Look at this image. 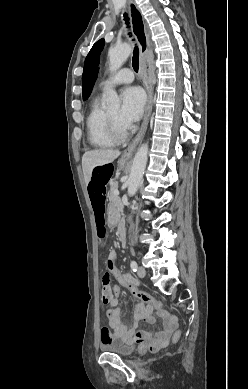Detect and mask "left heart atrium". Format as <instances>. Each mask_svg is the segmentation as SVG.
<instances>
[{
    "instance_id": "left-heart-atrium-1",
    "label": "left heart atrium",
    "mask_w": 248,
    "mask_h": 389,
    "mask_svg": "<svg viewBox=\"0 0 248 389\" xmlns=\"http://www.w3.org/2000/svg\"><path fill=\"white\" fill-rule=\"evenodd\" d=\"M145 95L139 87H127L121 93L119 121L124 129L130 128L143 114Z\"/></svg>"
}]
</instances>
